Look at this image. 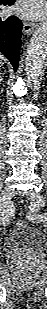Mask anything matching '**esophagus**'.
<instances>
[{
    "label": "esophagus",
    "instance_id": "esophagus-1",
    "mask_svg": "<svg viewBox=\"0 0 47 309\" xmlns=\"http://www.w3.org/2000/svg\"><path fill=\"white\" fill-rule=\"evenodd\" d=\"M35 28V24L31 22L24 21L23 22V31L26 35H30Z\"/></svg>",
    "mask_w": 47,
    "mask_h": 309
}]
</instances>
